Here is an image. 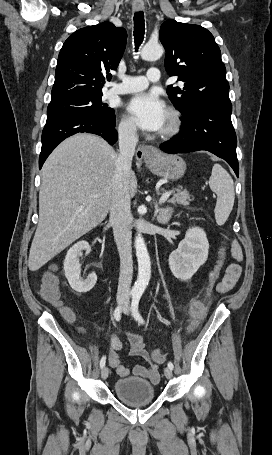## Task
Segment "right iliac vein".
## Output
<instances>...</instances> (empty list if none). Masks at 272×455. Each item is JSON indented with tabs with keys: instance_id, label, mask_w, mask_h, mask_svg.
Wrapping results in <instances>:
<instances>
[{
	"instance_id": "63e3f726",
	"label": "right iliac vein",
	"mask_w": 272,
	"mask_h": 455,
	"mask_svg": "<svg viewBox=\"0 0 272 455\" xmlns=\"http://www.w3.org/2000/svg\"><path fill=\"white\" fill-rule=\"evenodd\" d=\"M118 304H119V305L123 304V299H119V300H118ZM108 375H109V369H108L107 367H103V368H102V371H101V377H102V379H103V380L107 379Z\"/></svg>"
}]
</instances>
